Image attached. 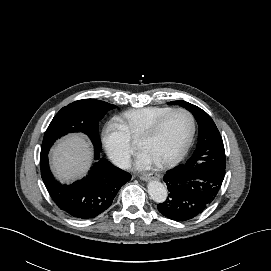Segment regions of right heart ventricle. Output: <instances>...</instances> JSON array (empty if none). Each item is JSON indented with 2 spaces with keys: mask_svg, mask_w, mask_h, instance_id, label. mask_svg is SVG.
Wrapping results in <instances>:
<instances>
[{
  "mask_svg": "<svg viewBox=\"0 0 271 271\" xmlns=\"http://www.w3.org/2000/svg\"><path fill=\"white\" fill-rule=\"evenodd\" d=\"M172 109L169 106L131 109L118 115L117 121L130 138L138 139L145 129Z\"/></svg>",
  "mask_w": 271,
  "mask_h": 271,
  "instance_id": "obj_1",
  "label": "right heart ventricle"
}]
</instances>
